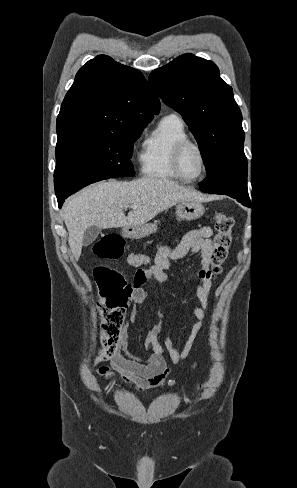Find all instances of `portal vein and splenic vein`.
Returning a JSON list of instances; mask_svg holds the SVG:
<instances>
[{"instance_id": "1", "label": "portal vein and splenic vein", "mask_w": 297, "mask_h": 488, "mask_svg": "<svg viewBox=\"0 0 297 488\" xmlns=\"http://www.w3.org/2000/svg\"><path fill=\"white\" fill-rule=\"evenodd\" d=\"M127 207L132 208V209H137L138 208V206L132 205V204L131 205H128Z\"/></svg>"}]
</instances>
